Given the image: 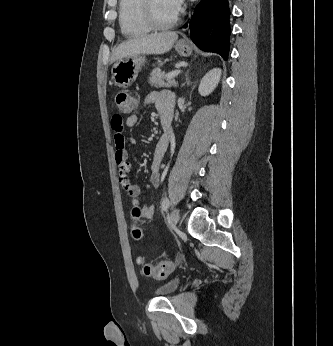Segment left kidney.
<instances>
[{"label":"left kidney","mask_w":333,"mask_h":346,"mask_svg":"<svg viewBox=\"0 0 333 346\" xmlns=\"http://www.w3.org/2000/svg\"><path fill=\"white\" fill-rule=\"evenodd\" d=\"M221 77V69L214 68L210 70L201 80L199 85V93L202 96L209 95L218 85Z\"/></svg>","instance_id":"1"}]
</instances>
